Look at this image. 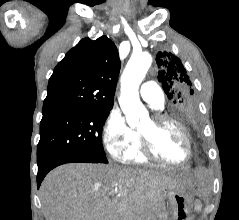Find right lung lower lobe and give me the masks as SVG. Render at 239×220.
<instances>
[{
    "label": "right lung lower lobe",
    "instance_id": "obj_1",
    "mask_svg": "<svg viewBox=\"0 0 239 220\" xmlns=\"http://www.w3.org/2000/svg\"><path fill=\"white\" fill-rule=\"evenodd\" d=\"M72 162H82V163H100L97 160L89 159V158H82V157H57L50 159L41 165H38V174H37V185L38 188L41 185L43 178L46 174L53 168L58 165L65 164V163H72Z\"/></svg>",
    "mask_w": 239,
    "mask_h": 220
}]
</instances>
